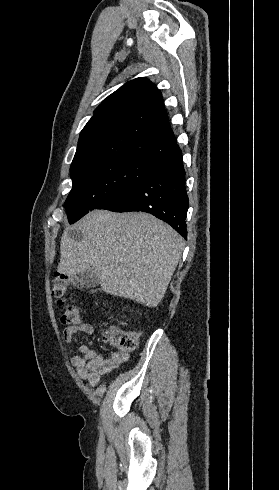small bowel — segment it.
<instances>
[{"label": "small bowel", "mask_w": 279, "mask_h": 490, "mask_svg": "<svg viewBox=\"0 0 279 490\" xmlns=\"http://www.w3.org/2000/svg\"><path fill=\"white\" fill-rule=\"evenodd\" d=\"M93 334V326L87 322L67 327L63 332V338L68 344H73L77 333ZM79 354L70 357L71 365L76 369L78 376L95 386L103 374L110 373L129 359L126 352H114L109 356H103L83 344L78 348Z\"/></svg>", "instance_id": "obj_1"}]
</instances>
